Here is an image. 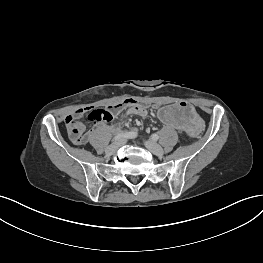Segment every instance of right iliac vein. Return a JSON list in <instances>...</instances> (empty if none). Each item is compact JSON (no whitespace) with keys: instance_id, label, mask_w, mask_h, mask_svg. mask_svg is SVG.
I'll return each mask as SVG.
<instances>
[{"instance_id":"right-iliac-vein-1","label":"right iliac vein","mask_w":263,"mask_h":263,"mask_svg":"<svg viewBox=\"0 0 263 263\" xmlns=\"http://www.w3.org/2000/svg\"><path fill=\"white\" fill-rule=\"evenodd\" d=\"M124 143V140H120L119 142H114V143H112L111 145H109L107 148H106V150H105V153L107 154V155H113L115 152H116V150L118 149V147L121 145V144H123Z\"/></svg>"}]
</instances>
